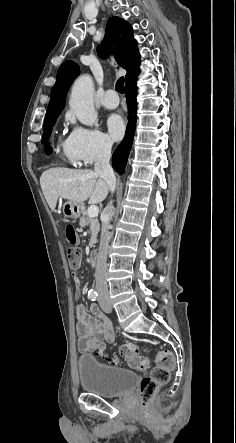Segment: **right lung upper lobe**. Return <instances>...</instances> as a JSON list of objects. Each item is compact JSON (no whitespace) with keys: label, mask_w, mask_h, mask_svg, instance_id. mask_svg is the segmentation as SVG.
I'll return each mask as SVG.
<instances>
[{"label":"right lung upper lobe","mask_w":236,"mask_h":443,"mask_svg":"<svg viewBox=\"0 0 236 443\" xmlns=\"http://www.w3.org/2000/svg\"><path fill=\"white\" fill-rule=\"evenodd\" d=\"M97 51L98 55L104 59L112 53L117 64L127 71L125 79L138 70L140 55L132 27L119 17L108 19L105 37L97 47ZM78 74L79 67L72 61H66L60 66L52 89L45 121L60 114L65 105L67 91Z\"/></svg>","instance_id":"cb5924a9"}]
</instances>
